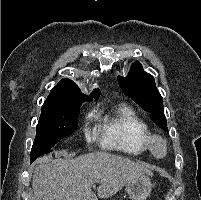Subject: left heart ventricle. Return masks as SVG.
I'll return each instance as SVG.
<instances>
[{"label": "left heart ventricle", "instance_id": "b2bd125f", "mask_svg": "<svg viewBox=\"0 0 201 200\" xmlns=\"http://www.w3.org/2000/svg\"><path fill=\"white\" fill-rule=\"evenodd\" d=\"M162 150H163V149H162V147H161V146H159V147H158V152H159V153H161V152H162Z\"/></svg>", "mask_w": 201, "mask_h": 200}]
</instances>
